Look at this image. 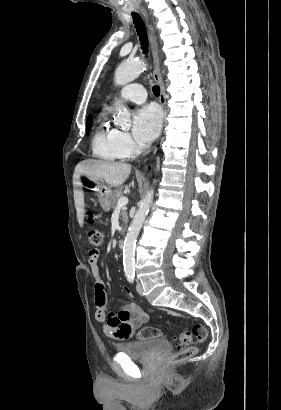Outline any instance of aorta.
Returning a JSON list of instances; mask_svg holds the SVG:
<instances>
[{
    "instance_id": "762f6f07",
    "label": "aorta",
    "mask_w": 281,
    "mask_h": 410,
    "mask_svg": "<svg viewBox=\"0 0 281 410\" xmlns=\"http://www.w3.org/2000/svg\"><path fill=\"white\" fill-rule=\"evenodd\" d=\"M146 68L143 61L124 62L120 64L115 71V83L117 85H126L136 79ZM130 121V114L123 105L116 106L114 122L116 125L126 126ZM154 197V190L151 188L142 199L139 209L137 210L123 246V266L126 274H134V253L138 234L142 224L148 214L150 205Z\"/></svg>"
}]
</instances>
